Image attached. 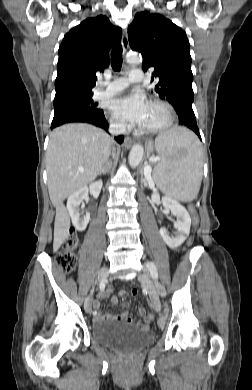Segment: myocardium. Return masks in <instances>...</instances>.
<instances>
[{
  "instance_id": "1",
  "label": "myocardium",
  "mask_w": 252,
  "mask_h": 390,
  "mask_svg": "<svg viewBox=\"0 0 252 390\" xmlns=\"http://www.w3.org/2000/svg\"><path fill=\"white\" fill-rule=\"evenodd\" d=\"M149 104L152 105H159L164 108V110L167 113V119L166 121L157 127L153 128H142V131L148 134H159L162 133L166 130H168L174 123L175 121V110L174 107L167 101L162 100V99H153L149 102Z\"/></svg>"
}]
</instances>
